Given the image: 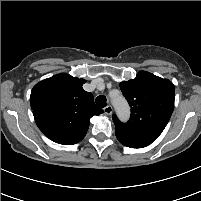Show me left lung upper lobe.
Masks as SVG:
<instances>
[{"label": "left lung upper lobe", "mask_w": 201, "mask_h": 201, "mask_svg": "<svg viewBox=\"0 0 201 201\" xmlns=\"http://www.w3.org/2000/svg\"><path fill=\"white\" fill-rule=\"evenodd\" d=\"M120 89L131 107V116L127 123H121L113 115L116 132L133 138L156 140L174 109L172 82L140 71L135 79L121 82Z\"/></svg>", "instance_id": "1"}]
</instances>
